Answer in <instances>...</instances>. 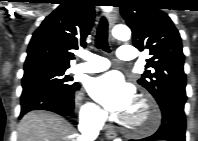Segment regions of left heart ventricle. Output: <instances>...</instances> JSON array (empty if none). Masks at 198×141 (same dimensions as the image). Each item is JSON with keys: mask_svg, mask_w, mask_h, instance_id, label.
I'll use <instances>...</instances> for the list:
<instances>
[{"mask_svg": "<svg viewBox=\"0 0 198 141\" xmlns=\"http://www.w3.org/2000/svg\"><path fill=\"white\" fill-rule=\"evenodd\" d=\"M135 121H142L143 119V113L141 111V109L139 108H134L132 109V111L129 114Z\"/></svg>", "mask_w": 198, "mask_h": 141, "instance_id": "b2bd125f", "label": "left heart ventricle"}]
</instances>
